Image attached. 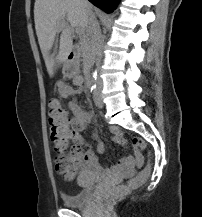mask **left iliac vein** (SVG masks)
I'll return each instance as SVG.
<instances>
[{
    "mask_svg": "<svg viewBox=\"0 0 202 217\" xmlns=\"http://www.w3.org/2000/svg\"><path fill=\"white\" fill-rule=\"evenodd\" d=\"M94 101L97 107L102 108L103 102H102V99H101V96L98 90H96L95 92Z\"/></svg>",
    "mask_w": 202,
    "mask_h": 217,
    "instance_id": "1",
    "label": "left iliac vein"
}]
</instances>
